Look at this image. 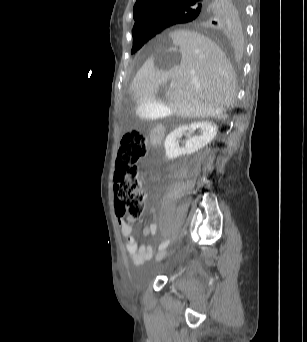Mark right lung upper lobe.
I'll list each match as a JSON object with an SVG mask.
<instances>
[{
	"instance_id": "obj_1",
	"label": "right lung upper lobe",
	"mask_w": 307,
	"mask_h": 342,
	"mask_svg": "<svg viewBox=\"0 0 307 342\" xmlns=\"http://www.w3.org/2000/svg\"><path fill=\"white\" fill-rule=\"evenodd\" d=\"M235 0H137L133 8L134 27L132 35L163 30L175 24L190 23L198 31L219 39H226L231 30V12ZM192 11L193 15L183 21L174 16Z\"/></svg>"
}]
</instances>
